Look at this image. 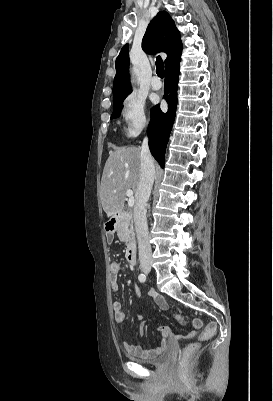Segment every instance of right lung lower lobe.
I'll return each instance as SVG.
<instances>
[{"label":"right lung lower lobe","mask_w":273,"mask_h":401,"mask_svg":"<svg viewBox=\"0 0 273 401\" xmlns=\"http://www.w3.org/2000/svg\"><path fill=\"white\" fill-rule=\"evenodd\" d=\"M179 62L165 69L164 99L169 104L168 111L163 113L159 105L155 106L151 111V123L148 126L150 151L162 168H164L165 148L175 120Z\"/></svg>","instance_id":"right-lung-lower-lobe-1"}]
</instances>
